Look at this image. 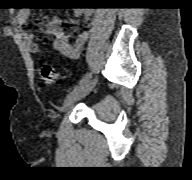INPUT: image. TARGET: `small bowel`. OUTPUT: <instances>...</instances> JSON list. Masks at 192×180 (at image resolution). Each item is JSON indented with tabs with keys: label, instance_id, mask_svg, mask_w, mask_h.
<instances>
[{
	"label": "small bowel",
	"instance_id": "obj_1",
	"mask_svg": "<svg viewBox=\"0 0 192 180\" xmlns=\"http://www.w3.org/2000/svg\"><path fill=\"white\" fill-rule=\"evenodd\" d=\"M73 14L76 18H80L82 15L90 17L92 14L91 10L83 11L80 8H76L73 11ZM29 10L21 9L17 13V23L21 26H25L28 23ZM45 32L48 35L54 37V48L61 55L70 58L77 59L82 51L84 44L88 39L87 32H81L75 36L73 43L70 42V35H68L61 27L60 20L58 18H53L50 22L45 24ZM25 46L27 50L31 53L38 52L39 46L36 42V36L29 32H24L22 34Z\"/></svg>",
	"mask_w": 192,
	"mask_h": 180
}]
</instances>
